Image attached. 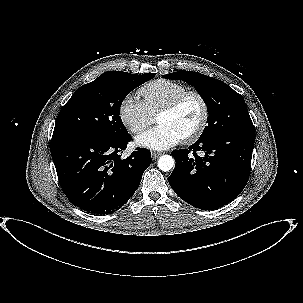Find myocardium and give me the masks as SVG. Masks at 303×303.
<instances>
[{"mask_svg": "<svg viewBox=\"0 0 303 303\" xmlns=\"http://www.w3.org/2000/svg\"><path fill=\"white\" fill-rule=\"evenodd\" d=\"M191 96L195 97L200 103L201 118L197 127L192 132L182 138V141L185 143H191L199 139L207 127L209 120V107L203 95L195 90H187L177 95L157 112V116L160 114L171 113L175 111L185 99Z\"/></svg>", "mask_w": 303, "mask_h": 303, "instance_id": "myocardium-1", "label": "myocardium"}]
</instances>
